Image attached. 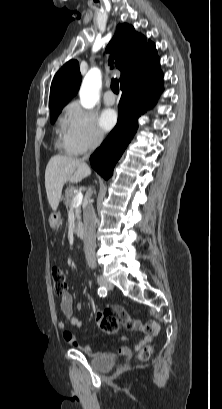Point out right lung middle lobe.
I'll list each match as a JSON object with an SVG mask.
<instances>
[{
    "mask_svg": "<svg viewBox=\"0 0 222 409\" xmlns=\"http://www.w3.org/2000/svg\"><path fill=\"white\" fill-rule=\"evenodd\" d=\"M62 108L61 109H57V110H53L51 111V123H54V121L56 120L57 116L60 114Z\"/></svg>",
    "mask_w": 222,
    "mask_h": 409,
    "instance_id": "1",
    "label": "right lung middle lobe"
}]
</instances>
